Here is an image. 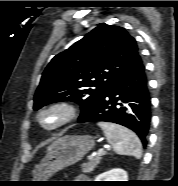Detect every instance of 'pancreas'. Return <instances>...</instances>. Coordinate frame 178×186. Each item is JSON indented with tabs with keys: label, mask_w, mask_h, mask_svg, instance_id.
Instances as JSON below:
<instances>
[{
	"label": "pancreas",
	"mask_w": 178,
	"mask_h": 186,
	"mask_svg": "<svg viewBox=\"0 0 178 186\" xmlns=\"http://www.w3.org/2000/svg\"><path fill=\"white\" fill-rule=\"evenodd\" d=\"M101 157L100 156H96L92 159H90V161L88 163H83L81 165L82 168V172L83 173H91L94 168L100 163Z\"/></svg>",
	"instance_id": "obj_1"
}]
</instances>
